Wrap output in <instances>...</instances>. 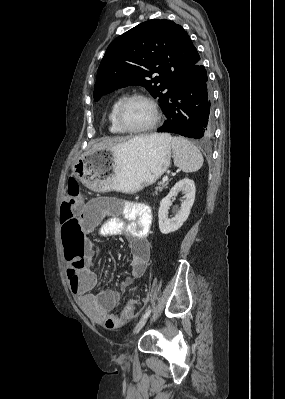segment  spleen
Wrapping results in <instances>:
<instances>
[{
	"label": "spleen",
	"mask_w": 285,
	"mask_h": 399,
	"mask_svg": "<svg viewBox=\"0 0 285 399\" xmlns=\"http://www.w3.org/2000/svg\"><path fill=\"white\" fill-rule=\"evenodd\" d=\"M170 138L175 166L185 173L198 171L204 162L199 149L184 137Z\"/></svg>",
	"instance_id": "spleen-1"
}]
</instances>
